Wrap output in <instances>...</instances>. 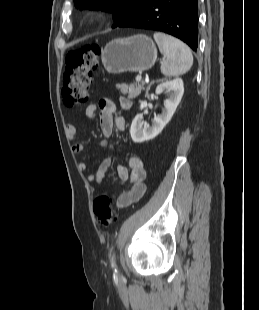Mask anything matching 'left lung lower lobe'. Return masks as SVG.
<instances>
[{"label":"left lung lower lobe","mask_w":259,"mask_h":310,"mask_svg":"<svg viewBox=\"0 0 259 310\" xmlns=\"http://www.w3.org/2000/svg\"><path fill=\"white\" fill-rule=\"evenodd\" d=\"M116 27L162 31L181 39L196 51L198 47L197 0H152Z\"/></svg>","instance_id":"1"}]
</instances>
